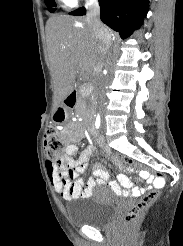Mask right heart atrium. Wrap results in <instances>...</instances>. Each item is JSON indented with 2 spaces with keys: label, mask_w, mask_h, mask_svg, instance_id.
Here are the masks:
<instances>
[{
  "label": "right heart atrium",
  "mask_w": 183,
  "mask_h": 246,
  "mask_svg": "<svg viewBox=\"0 0 183 246\" xmlns=\"http://www.w3.org/2000/svg\"><path fill=\"white\" fill-rule=\"evenodd\" d=\"M80 1H81V0H63V2H64L66 5L70 6V7H75V6H77V5L79 4ZM85 1H90V0H85Z\"/></svg>",
  "instance_id": "1"
}]
</instances>
